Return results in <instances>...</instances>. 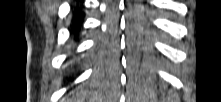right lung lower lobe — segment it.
Listing matches in <instances>:
<instances>
[{"label":"right lung lower lobe","mask_w":221,"mask_h":102,"mask_svg":"<svg viewBox=\"0 0 221 102\" xmlns=\"http://www.w3.org/2000/svg\"><path fill=\"white\" fill-rule=\"evenodd\" d=\"M83 17L84 14L80 10L74 9L70 25V35L76 40L78 39V32L83 21Z\"/></svg>","instance_id":"right-lung-lower-lobe-1"}]
</instances>
